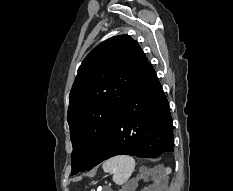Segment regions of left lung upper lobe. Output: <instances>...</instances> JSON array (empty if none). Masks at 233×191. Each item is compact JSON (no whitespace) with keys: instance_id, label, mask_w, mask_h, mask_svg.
Segmentation results:
<instances>
[{"instance_id":"5c2ea615","label":"left lung upper lobe","mask_w":233,"mask_h":191,"mask_svg":"<svg viewBox=\"0 0 233 191\" xmlns=\"http://www.w3.org/2000/svg\"><path fill=\"white\" fill-rule=\"evenodd\" d=\"M146 64L141 47L128 35L102 42L83 60L69 95L72 175L89 166Z\"/></svg>"}]
</instances>
